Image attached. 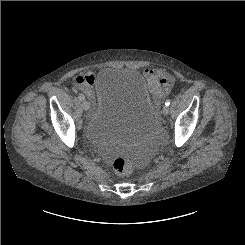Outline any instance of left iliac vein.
Wrapping results in <instances>:
<instances>
[{"instance_id":"left-iliac-vein-1","label":"left iliac vein","mask_w":245,"mask_h":245,"mask_svg":"<svg viewBox=\"0 0 245 245\" xmlns=\"http://www.w3.org/2000/svg\"><path fill=\"white\" fill-rule=\"evenodd\" d=\"M162 113L164 115H168V113H169V107L168 106H164L163 109H162Z\"/></svg>"}]
</instances>
